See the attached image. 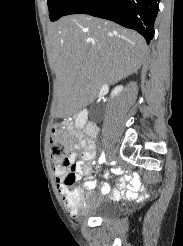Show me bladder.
I'll use <instances>...</instances> for the list:
<instances>
[{"label":"bladder","instance_id":"bladder-1","mask_svg":"<svg viewBox=\"0 0 183 246\" xmlns=\"http://www.w3.org/2000/svg\"><path fill=\"white\" fill-rule=\"evenodd\" d=\"M121 208L109 201H96L95 205L89 212V216L101 219L111 218L119 215Z\"/></svg>","mask_w":183,"mask_h":246}]
</instances>
